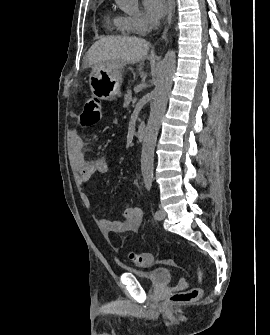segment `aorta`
Here are the masks:
<instances>
[{
    "instance_id": "aorta-1",
    "label": "aorta",
    "mask_w": 270,
    "mask_h": 335,
    "mask_svg": "<svg viewBox=\"0 0 270 335\" xmlns=\"http://www.w3.org/2000/svg\"><path fill=\"white\" fill-rule=\"evenodd\" d=\"M176 68L175 52H167L164 60L160 62L155 78V88L152 92V106L144 134L141 154V171L144 181H152L154 166V150L161 120L165 114L168 96Z\"/></svg>"
}]
</instances>
